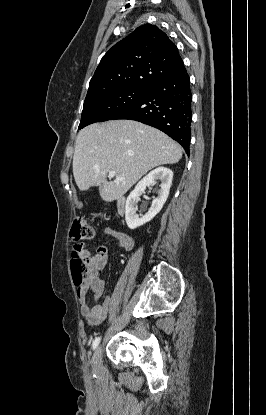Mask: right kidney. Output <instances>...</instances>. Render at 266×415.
Instances as JSON below:
<instances>
[{"instance_id": "ca27d5eb", "label": "right kidney", "mask_w": 266, "mask_h": 415, "mask_svg": "<svg viewBox=\"0 0 266 415\" xmlns=\"http://www.w3.org/2000/svg\"><path fill=\"white\" fill-rule=\"evenodd\" d=\"M173 172L165 167H158L145 176L130 193L126 200L125 219L130 229H135L151 221L162 209L166 202L169 190L172 184ZM160 180V189L157 191L158 196L154 198L151 208L145 215L136 214L138 197L145 192L147 186L152 185L155 181Z\"/></svg>"}]
</instances>
